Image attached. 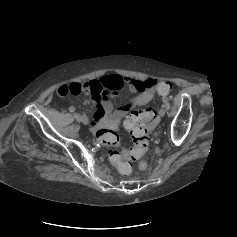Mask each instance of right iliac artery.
<instances>
[{"instance_id":"1","label":"right iliac artery","mask_w":237,"mask_h":237,"mask_svg":"<svg viewBox=\"0 0 237 237\" xmlns=\"http://www.w3.org/2000/svg\"><path fill=\"white\" fill-rule=\"evenodd\" d=\"M69 111L70 112H74L75 111V107H73V106L69 107Z\"/></svg>"}]
</instances>
